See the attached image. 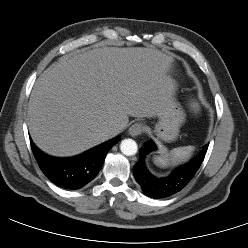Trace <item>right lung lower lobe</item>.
<instances>
[{
  "label": "right lung lower lobe",
  "mask_w": 248,
  "mask_h": 248,
  "mask_svg": "<svg viewBox=\"0 0 248 248\" xmlns=\"http://www.w3.org/2000/svg\"><path fill=\"white\" fill-rule=\"evenodd\" d=\"M121 139L117 136L78 156L56 158L46 155L30 140L34 157L45 176L65 189H79L92 181L100 171L107 152Z\"/></svg>",
  "instance_id": "obj_1"
}]
</instances>
